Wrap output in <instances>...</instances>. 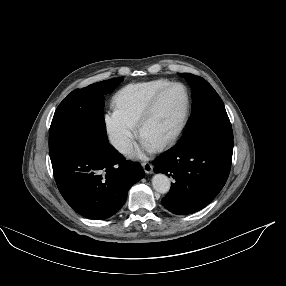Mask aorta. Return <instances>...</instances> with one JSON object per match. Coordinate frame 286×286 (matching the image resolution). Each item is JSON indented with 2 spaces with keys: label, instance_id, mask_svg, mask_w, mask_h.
<instances>
[{
  "label": "aorta",
  "instance_id": "762f6f07",
  "mask_svg": "<svg viewBox=\"0 0 286 286\" xmlns=\"http://www.w3.org/2000/svg\"><path fill=\"white\" fill-rule=\"evenodd\" d=\"M152 186L158 193L165 194L170 190L171 183L165 174L159 173L153 176Z\"/></svg>",
  "mask_w": 286,
  "mask_h": 286
}]
</instances>
